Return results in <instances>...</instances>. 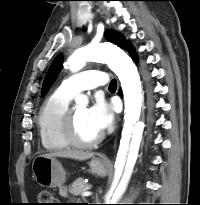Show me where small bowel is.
<instances>
[{"label": "small bowel", "mask_w": 200, "mask_h": 205, "mask_svg": "<svg viewBox=\"0 0 200 205\" xmlns=\"http://www.w3.org/2000/svg\"><path fill=\"white\" fill-rule=\"evenodd\" d=\"M60 193L61 195L65 196L66 195V189L65 188H60Z\"/></svg>", "instance_id": "c3829d8e"}]
</instances>
